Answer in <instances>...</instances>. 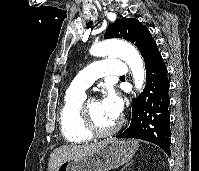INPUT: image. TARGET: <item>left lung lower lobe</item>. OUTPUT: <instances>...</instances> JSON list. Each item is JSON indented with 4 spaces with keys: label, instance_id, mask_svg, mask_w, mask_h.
<instances>
[{
    "label": "left lung lower lobe",
    "instance_id": "0a47b994",
    "mask_svg": "<svg viewBox=\"0 0 199 171\" xmlns=\"http://www.w3.org/2000/svg\"><path fill=\"white\" fill-rule=\"evenodd\" d=\"M146 67V86L143 93L132 100L130 126L117 138H136L160 146L170 155L171 130L168 106L169 80L167 68L155 40L141 52Z\"/></svg>",
    "mask_w": 199,
    "mask_h": 171
}]
</instances>
